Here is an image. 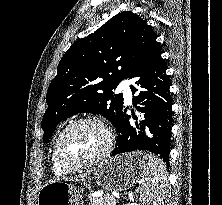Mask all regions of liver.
Returning <instances> with one entry per match:
<instances>
[{"instance_id":"6515ba94","label":"liver","mask_w":222,"mask_h":205,"mask_svg":"<svg viewBox=\"0 0 222 205\" xmlns=\"http://www.w3.org/2000/svg\"><path fill=\"white\" fill-rule=\"evenodd\" d=\"M83 177H84V176H81V177H78V178H80V179H81V178H83Z\"/></svg>"}]
</instances>
